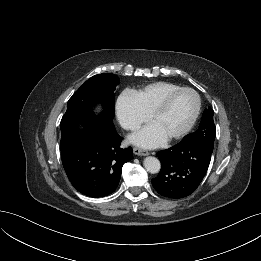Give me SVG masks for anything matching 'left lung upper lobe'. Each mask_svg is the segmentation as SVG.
<instances>
[{
  "mask_svg": "<svg viewBox=\"0 0 261 261\" xmlns=\"http://www.w3.org/2000/svg\"><path fill=\"white\" fill-rule=\"evenodd\" d=\"M213 110L209 107L206 109L202 115L201 123L199 128L186 135L183 140H197L207 143L213 150L214 140L216 136V128L213 121Z\"/></svg>",
  "mask_w": 261,
  "mask_h": 261,
  "instance_id": "5c2ea615",
  "label": "left lung upper lobe"
}]
</instances>
